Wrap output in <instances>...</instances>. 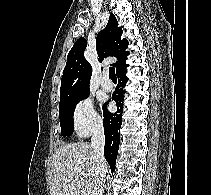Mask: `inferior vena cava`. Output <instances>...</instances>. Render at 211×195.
<instances>
[{
  "label": "inferior vena cava",
  "instance_id": "1",
  "mask_svg": "<svg viewBox=\"0 0 211 195\" xmlns=\"http://www.w3.org/2000/svg\"><path fill=\"white\" fill-rule=\"evenodd\" d=\"M105 136L102 125H98L93 132L91 145L94 151L95 177L91 195H103L107 164L104 157Z\"/></svg>",
  "mask_w": 211,
  "mask_h": 195
}]
</instances>
